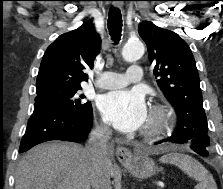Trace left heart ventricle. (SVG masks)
Listing matches in <instances>:
<instances>
[{
  "label": "left heart ventricle",
  "mask_w": 223,
  "mask_h": 189,
  "mask_svg": "<svg viewBox=\"0 0 223 189\" xmlns=\"http://www.w3.org/2000/svg\"><path fill=\"white\" fill-rule=\"evenodd\" d=\"M148 120H149V117H148V119H147V122H146V124L148 123Z\"/></svg>",
  "instance_id": "1"
}]
</instances>
